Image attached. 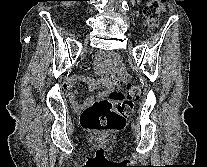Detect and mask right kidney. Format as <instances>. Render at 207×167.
<instances>
[{
    "instance_id": "1",
    "label": "right kidney",
    "mask_w": 207,
    "mask_h": 167,
    "mask_svg": "<svg viewBox=\"0 0 207 167\" xmlns=\"http://www.w3.org/2000/svg\"><path fill=\"white\" fill-rule=\"evenodd\" d=\"M64 5H69L70 3L69 2H62Z\"/></svg>"
}]
</instances>
